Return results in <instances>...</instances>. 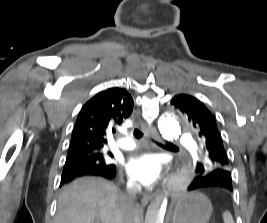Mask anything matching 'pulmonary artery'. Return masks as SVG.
I'll return each mask as SVG.
<instances>
[{"mask_svg":"<svg viewBox=\"0 0 267 223\" xmlns=\"http://www.w3.org/2000/svg\"><path fill=\"white\" fill-rule=\"evenodd\" d=\"M183 143L187 144L186 141H183ZM117 146L121 149L132 150L136 147V143L131 137L125 136V137L117 140Z\"/></svg>","mask_w":267,"mask_h":223,"instance_id":"pulmonary-artery-1","label":"pulmonary artery"}]
</instances>
